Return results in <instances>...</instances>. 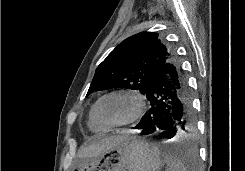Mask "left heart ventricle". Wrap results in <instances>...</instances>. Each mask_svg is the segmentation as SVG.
Returning <instances> with one entry per match:
<instances>
[{
    "label": "left heart ventricle",
    "mask_w": 245,
    "mask_h": 171,
    "mask_svg": "<svg viewBox=\"0 0 245 171\" xmlns=\"http://www.w3.org/2000/svg\"><path fill=\"white\" fill-rule=\"evenodd\" d=\"M135 101L128 96L114 95L104 99L99 108L101 117L109 123L126 120L135 110Z\"/></svg>",
    "instance_id": "b2bd125f"
}]
</instances>
